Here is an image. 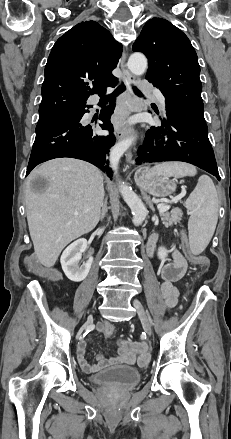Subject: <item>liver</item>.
<instances>
[{
  "mask_svg": "<svg viewBox=\"0 0 231 439\" xmlns=\"http://www.w3.org/2000/svg\"><path fill=\"white\" fill-rule=\"evenodd\" d=\"M38 176L48 181L40 193L31 187ZM103 198L102 172L85 161L52 159L31 172L25 190L26 214L35 255L43 266H54L66 245L96 227Z\"/></svg>",
  "mask_w": 231,
  "mask_h": 439,
  "instance_id": "1",
  "label": "liver"
}]
</instances>
